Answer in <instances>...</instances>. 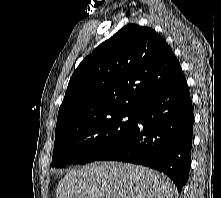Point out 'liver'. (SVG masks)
Listing matches in <instances>:
<instances>
[{
  "label": "liver",
  "mask_w": 221,
  "mask_h": 198,
  "mask_svg": "<svg viewBox=\"0 0 221 198\" xmlns=\"http://www.w3.org/2000/svg\"><path fill=\"white\" fill-rule=\"evenodd\" d=\"M173 198V183L155 170L120 162H95L70 170L56 198Z\"/></svg>",
  "instance_id": "1"
}]
</instances>
